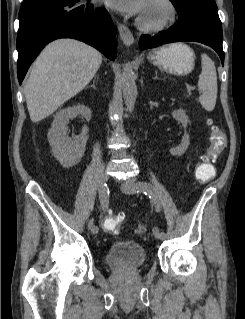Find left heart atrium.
Here are the masks:
<instances>
[{"mask_svg": "<svg viewBox=\"0 0 245 319\" xmlns=\"http://www.w3.org/2000/svg\"><path fill=\"white\" fill-rule=\"evenodd\" d=\"M112 9L129 14L141 15L148 0H104Z\"/></svg>", "mask_w": 245, "mask_h": 319, "instance_id": "left-heart-atrium-1", "label": "left heart atrium"}]
</instances>
